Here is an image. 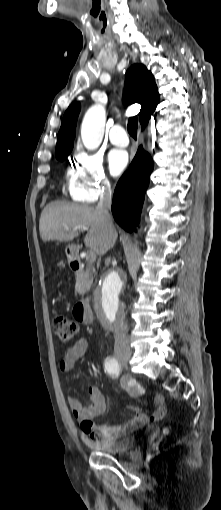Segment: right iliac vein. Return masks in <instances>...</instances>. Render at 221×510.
Masks as SVG:
<instances>
[{
    "mask_svg": "<svg viewBox=\"0 0 221 510\" xmlns=\"http://www.w3.org/2000/svg\"><path fill=\"white\" fill-rule=\"evenodd\" d=\"M131 357V353H121V354H118L117 355V359L121 362V363H125L127 362Z\"/></svg>",
    "mask_w": 221,
    "mask_h": 510,
    "instance_id": "right-iliac-vein-1",
    "label": "right iliac vein"
}]
</instances>
